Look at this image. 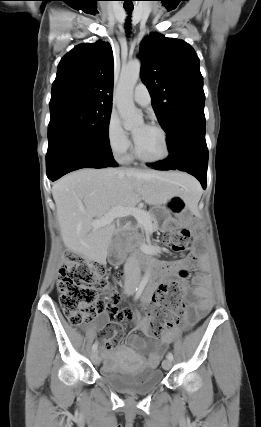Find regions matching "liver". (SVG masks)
Wrapping results in <instances>:
<instances>
[{
	"label": "liver",
	"mask_w": 261,
	"mask_h": 427,
	"mask_svg": "<svg viewBox=\"0 0 261 427\" xmlns=\"http://www.w3.org/2000/svg\"><path fill=\"white\" fill-rule=\"evenodd\" d=\"M195 182L180 172L116 168L74 171L52 187L63 243L89 260L104 263L115 224L112 221L93 227L94 218L104 217L117 206L135 207L141 200L159 206L175 195H182L190 204L187 190Z\"/></svg>",
	"instance_id": "obj_1"
}]
</instances>
